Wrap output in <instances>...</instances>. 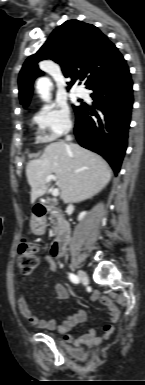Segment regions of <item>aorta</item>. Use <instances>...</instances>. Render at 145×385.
<instances>
[{
  "instance_id": "aorta-1",
  "label": "aorta",
  "mask_w": 145,
  "mask_h": 385,
  "mask_svg": "<svg viewBox=\"0 0 145 385\" xmlns=\"http://www.w3.org/2000/svg\"><path fill=\"white\" fill-rule=\"evenodd\" d=\"M51 86H52L51 81L46 77L39 78L37 81L36 87H37L38 93L40 94L41 98L45 101L50 100Z\"/></svg>"
}]
</instances>
